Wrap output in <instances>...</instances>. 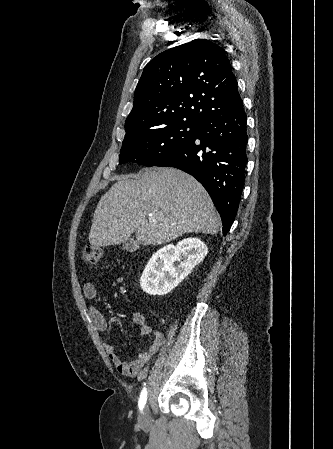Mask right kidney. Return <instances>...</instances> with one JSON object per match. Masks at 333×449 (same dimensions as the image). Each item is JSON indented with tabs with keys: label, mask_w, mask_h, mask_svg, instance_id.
<instances>
[{
	"label": "right kidney",
	"mask_w": 333,
	"mask_h": 449,
	"mask_svg": "<svg viewBox=\"0 0 333 449\" xmlns=\"http://www.w3.org/2000/svg\"><path fill=\"white\" fill-rule=\"evenodd\" d=\"M208 253L199 238H187L176 246H164L147 263L140 279L141 289L149 295L163 296L178 286ZM177 261V264L174 262Z\"/></svg>",
	"instance_id": "right-kidney-1"
}]
</instances>
